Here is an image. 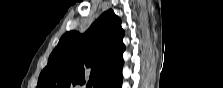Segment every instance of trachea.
<instances>
[{"label": "trachea", "mask_w": 223, "mask_h": 88, "mask_svg": "<svg viewBox=\"0 0 223 88\" xmlns=\"http://www.w3.org/2000/svg\"><path fill=\"white\" fill-rule=\"evenodd\" d=\"M88 88H91L92 87V83H88Z\"/></svg>", "instance_id": "obj_1"}]
</instances>
